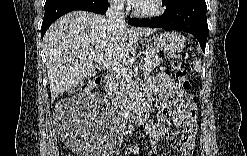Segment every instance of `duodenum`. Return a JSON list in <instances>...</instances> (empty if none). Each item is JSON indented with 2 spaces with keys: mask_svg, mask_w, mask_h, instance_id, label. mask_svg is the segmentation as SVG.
<instances>
[{
  "mask_svg": "<svg viewBox=\"0 0 247 156\" xmlns=\"http://www.w3.org/2000/svg\"><path fill=\"white\" fill-rule=\"evenodd\" d=\"M113 78L111 76H107L106 83L107 86H111ZM122 107L121 101H116L114 103V108L118 112V110ZM125 109L130 118L136 121H144L148 119L149 113L148 110L144 107H141L137 103V98L133 97L128 100V103L125 105Z\"/></svg>",
  "mask_w": 247,
  "mask_h": 156,
  "instance_id": "obj_1",
  "label": "duodenum"
}]
</instances>
